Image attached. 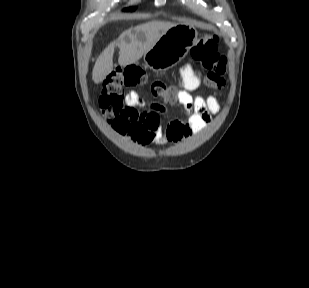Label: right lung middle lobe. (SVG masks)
<instances>
[{
    "instance_id": "1",
    "label": "right lung middle lobe",
    "mask_w": 309,
    "mask_h": 288,
    "mask_svg": "<svg viewBox=\"0 0 309 288\" xmlns=\"http://www.w3.org/2000/svg\"><path fill=\"white\" fill-rule=\"evenodd\" d=\"M133 10H135V8H127V9H125V11H133Z\"/></svg>"
}]
</instances>
